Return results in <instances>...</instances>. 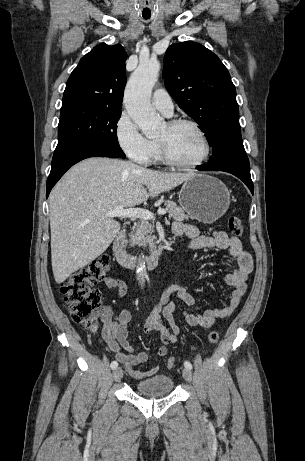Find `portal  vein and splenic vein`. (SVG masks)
Here are the masks:
<instances>
[{
	"mask_svg": "<svg viewBox=\"0 0 305 461\" xmlns=\"http://www.w3.org/2000/svg\"><path fill=\"white\" fill-rule=\"evenodd\" d=\"M165 209H160L158 210L159 215H165L166 214ZM106 217L114 218V217H119V218H140L143 220H151L155 219V216L152 212L146 209L142 208H129L125 209L124 207H117L112 211H109L106 215Z\"/></svg>",
	"mask_w": 305,
	"mask_h": 461,
	"instance_id": "18ae733b",
	"label": "portal vein and splenic vein"
}]
</instances>
